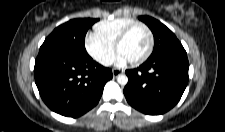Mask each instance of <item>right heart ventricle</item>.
<instances>
[{"instance_id": "1", "label": "right heart ventricle", "mask_w": 225, "mask_h": 132, "mask_svg": "<svg viewBox=\"0 0 225 132\" xmlns=\"http://www.w3.org/2000/svg\"><path fill=\"white\" fill-rule=\"evenodd\" d=\"M134 23L136 21L131 18L104 20L95 24L94 35L102 42L114 46L123 30Z\"/></svg>"}]
</instances>
